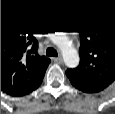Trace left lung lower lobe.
<instances>
[{
  "mask_svg": "<svg viewBox=\"0 0 115 114\" xmlns=\"http://www.w3.org/2000/svg\"><path fill=\"white\" fill-rule=\"evenodd\" d=\"M70 82L73 84V86L86 93L99 92L105 88L104 86L101 85L92 84V83H80L77 81H73L71 79Z\"/></svg>",
  "mask_w": 115,
  "mask_h": 114,
  "instance_id": "0a47b994",
  "label": "left lung lower lobe"
}]
</instances>
